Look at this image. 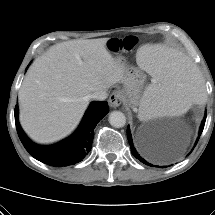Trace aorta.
I'll return each mask as SVG.
<instances>
[{
	"instance_id": "obj_1",
	"label": "aorta",
	"mask_w": 215,
	"mask_h": 215,
	"mask_svg": "<svg viewBox=\"0 0 215 215\" xmlns=\"http://www.w3.org/2000/svg\"><path fill=\"white\" fill-rule=\"evenodd\" d=\"M109 123L115 128L124 127L126 124V117L121 111H113L109 115Z\"/></svg>"
}]
</instances>
